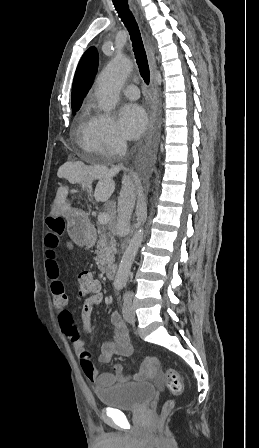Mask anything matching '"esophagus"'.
Here are the masks:
<instances>
[{
  "mask_svg": "<svg viewBox=\"0 0 259 448\" xmlns=\"http://www.w3.org/2000/svg\"><path fill=\"white\" fill-rule=\"evenodd\" d=\"M146 48H147L148 61H149L150 72H151V78H150L151 90L153 92L154 104L157 105V102H158L157 88L158 87H157V80H156V62H155L154 52H153L150 42L148 40L146 41Z\"/></svg>",
  "mask_w": 259,
  "mask_h": 448,
  "instance_id": "esophagus-1",
  "label": "esophagus"
}]
</instances>
